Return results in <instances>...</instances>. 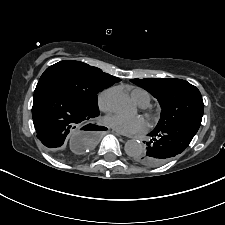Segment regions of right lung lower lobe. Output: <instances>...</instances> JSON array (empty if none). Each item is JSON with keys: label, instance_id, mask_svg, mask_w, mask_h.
Wrapping results in <instances>:
<instances>
[{"label": "right lung lower lobe", "instance_id": "98d812e1", "mask_svg": "<svg viewBox=\"0 0 225 225\" xmlns=\"http://www.w3.org/2000/svg\"><path fill=\"white\" fill-rule=\"evenodd\" d=\"M33 97L32 118L37 138L49 149L60 148L73 129L99 115L86 110L49 82H38ZM101 129L95 126L93 130Z\"/></svg>", "mask_w": 225, "mask_h": 225}]
</instances>
